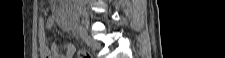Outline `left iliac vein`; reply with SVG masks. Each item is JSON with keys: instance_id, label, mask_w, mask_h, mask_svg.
Masks as SVG:
<instances>
[{"instance_id": "1", "label": "left iliac vein", "mask_w": 225, "mask_h": 58, "mask_svg": "<svg viewBox=\"0 0 225 58\" xmlns=\"http://www.w3.org/2000/svg\"><path fill=\"white\" fill-rule=\"evenodd\" d=\"M84 41L89 47H91L93 49H100L101 48V44L98 41L91 38L89 35L85 34Z\"/></svg>"}]
</instances>
